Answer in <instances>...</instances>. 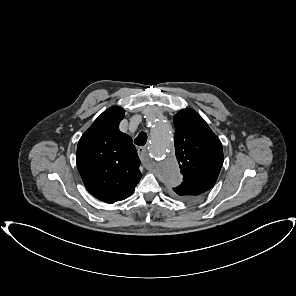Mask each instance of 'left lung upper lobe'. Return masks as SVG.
Segmentation results:
<instances>
[{"instance_id":"left-lung-upper-lobe-1","label":"left lung upper lobe","mask_w":296,"mask_h":296,"mask_svg":"<svg viewBox=\"0 0 296 296\" xmlns=\"http://www.w3.org/2000/svg\"><path fill=\"white\" fill-rule=\"evenodd\" d=\"M175 153L183 175L180 186L173 188L175 198L195 201L210 190L223 165L219 138L193 109H183L173 118Z\"/></svg>"}]
</instances>
